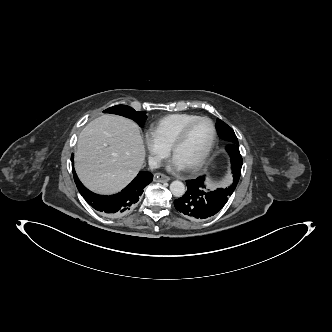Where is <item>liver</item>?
I'll return each instance as SVG.
<instances>
[{
	"instance_id": "obj_1",
	"label": "liver",
	"mask_w": 332,
	"mask_h": 332,
	"mask_svg": "<svg viewBox=\"0 0 332 332\" xmlns=\"http://www.w3.org/2000/svg\"><path fill=\"white\" fill-rule=\"evenodd\" d=\"M145 146L137 125L121 116L105 114L79 135L75 169L81 182L99 194L122 190L141 169Z\"/></svg>"
}]
</instances>
